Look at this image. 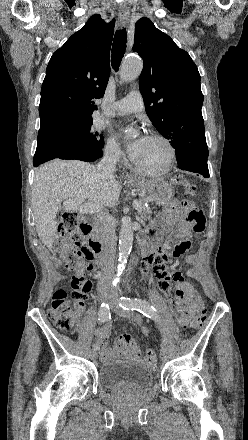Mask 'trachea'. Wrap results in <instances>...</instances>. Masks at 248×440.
I'll list each match as a JSON object with an SVG mask.
<instances>
[{
  "instance_id": "obj_1",
  "label": "trachea",
  "mask_w": 248,
  "mask_h": 440,
  "mask_svg": "<svg viewBox=\"0 0 248 440\" xmlns=\"http://www.w3.org/2000/svg\"><path fill=\"white\" fill-rule=\"evenodd\" d=\"M126 39H127L126 28L116 31L112 45V55H111L112 68L115 71H118L122 58L125 54Z\"/></svg>"
}]
</instances>
